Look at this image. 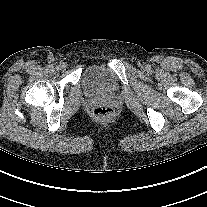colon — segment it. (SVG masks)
Listing matches in <instances>:
<instances>
[{
    "instance_id": "5ec220e1",
    "label": "colon",
    "mask_w": 207,
    "mask_h": 207,
    "mask_svg": "<svg viewBox=\"0 0 207 207\" xmlns=\"http://www.w3.org/2000/svg\"><path fill=\"white\" fill-rule=\"evenodd\" d=\"M94 114L101 119H110L114 115V110L109 107L101 106L94 110Z\"/></svg>"
}]
</instances>
